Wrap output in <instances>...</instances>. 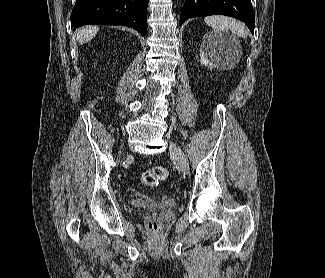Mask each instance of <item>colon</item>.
Masks as SVG:
<instances>
[{
	"label": "colon",
	"mask_w": 325,
	"mask_h": 278,
	"mask_svg": "<svg viewBox=\"0 0 325 278\" xmlns=\"http://www.w3.org/2000/svg\"><path fill=\"white\" fill-rule=\"evenodd\" d=\"M169 176L168 168L164 166H154L147 169L142 175V181L146 186L152 187L156 185L159 181L166 180ZM147 228L156 233L160 229L159 219L156 215L151 214L146 220Z\"/></svg>",
	"instance_id": "5ec220e1"
}]
</instances>
